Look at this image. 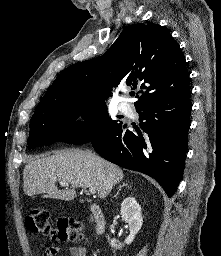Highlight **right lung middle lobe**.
<instances>
[{"instance_id":"obj_1","label":"right lung middle lobe","mask_w":221,"mask_h":256,"mask_svg":"<svg viewBox=\"0 0 221 256\" xmlns=\"http://www.w3.org/2000/svg\"><path fill=\"white\" fill-rule=\"evenodd\" d=\"M78 115L86 121H76ZM116 123L109 117L105 103L65 104L59 100L34 112L30 121L28 148L49 145L55 141L87 143Z\"/></svg>"}]
</instances>
